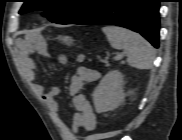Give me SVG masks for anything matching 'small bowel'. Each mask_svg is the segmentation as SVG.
I'll return each instance as SVG.
<instances>
[{
    "mask_svg": "<svg viewBox=\"0 0 182 140\" xmlns=\"http://www.w3.org/2000/svg\"><path fill=\"white\" fill-rule=\"evenodd\" d=\"M39 53L44 55L45 44L40 38H36L34 43L26 41L21 42L20 62L24 67L26 78L32 83L33 89L42 99L43 103L48 107L50 112L57 115L59 112V99L57 97L59 89L51 86L46 89L43 85L36 83L37 69L31 58V53ZM59 65H67L68 59L64 54H59L56 58ZM76 61L82 63L84 55H78ZM100 73L96 70L79 66L75 74L71 77L69 85V93L72 95L74 113L72 116L73 132L77 133L80 129L92 131L96 127V115L93 107L87 97L81 93L85 83H92L99 79Z\"/></svg>",
    "mask_w": 182,
    "mask_h": 140,
    "instance_id": "small-bowel-1",
    "label": "small bowel"
}]
</instances>
